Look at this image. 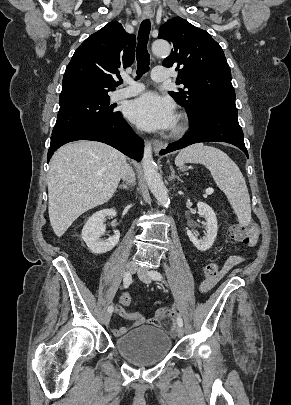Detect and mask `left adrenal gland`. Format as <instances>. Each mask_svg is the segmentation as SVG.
Wrapping results in <instances>:
<instances>
[{
	"label": "left adrenal gland",
	"instance_id": "a2214340",
	"mask_svg": "<svg viewBox=\"0 0 291 405\" xmlns=\"http://www.w3.org/2000/svg\"><path fill=\"white\" fill-rule=\"evenodd\" d=\"M170 170H171V175L169 176V181L175 180V179L181 181L180 177L175 174V171L172 166H170Z\"/></svg>",
	"mask_w": 291,
	"mask_h": 405
}]
</instances>
